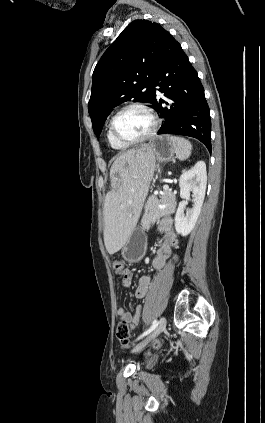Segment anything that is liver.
Masks as SVG:
<instances>
[{"label":"liver","mask_w":265,"mask_h":423,"mask_svg":"<svg viewBox=\"0 0 265 423\" xmlns=\"http://www.w3.org/2000/svg\"><path fill=\"white\" fill-rule=\"evenodd\" d=\"M155 155L148 144L119 155L111 169L112 190L104 203V243L118 252L135 228L155 171Z\"/></svg>","instance_id":"1"}]
</instances>
